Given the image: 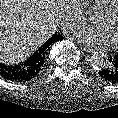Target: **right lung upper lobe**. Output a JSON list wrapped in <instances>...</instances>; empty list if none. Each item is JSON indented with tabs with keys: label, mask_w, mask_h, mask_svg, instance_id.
<instances>
[{
	"label": "right lung upper lobe",
	"mask_w": 118,
	"mask_h": 118,
	"mask_svg": "<svg viewBox=\"0 0 118 118\" xmlns=\"http://www.w3.org/2000/svg\"><path fill=\"white\" fill-rule=\"evenodd\" d=\"M55 41V36H53L50 40H48L47 42H45L35 53L34 56H38V57H42L45 55L47 49L49 48V46L54 43Z\"/></svg>",
	"instance_id": "right-lung-upper-lobe-1"
}]
</instances>
